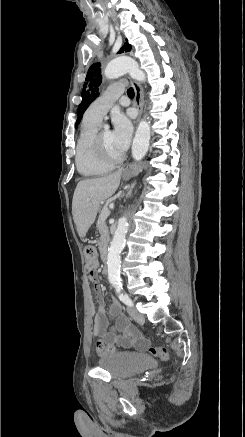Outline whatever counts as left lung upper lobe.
<instances>
[{"instance_id": "5c2ea615", "label": "left lung upper lobe", "mask_w": 245, "mask_h": 437, "mask_svg": "<svg viewBox=\"0 0 245 437\" xmlns=\"http://www.w3.org/2000/svg\"><path fill=\"white\" fill-rule=\"evenodd\" d=\"M131 50V45L128 42H125L124 46L118 51V53L128 52ZM102 76L100 75V64H93L87 73L86 82L84 83V87L82 89V102L78 107V119L76 121V127L81 121L83 113L90 105L92 101L96 99L99 95L97 92L98 86L101 84Z\"/></svg>"}]
</instances>
